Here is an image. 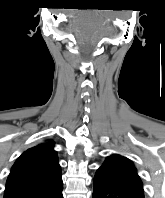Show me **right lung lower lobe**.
I'll return each mask as SVG.
<instances>
[{
    "mask_svg": "<svg viewBox=\"0 0 165 198\" xmlns=\"http://www.w3.org/2000/svg\"><path fill=\"white\" fill-rule=\"evenodd\" d=\"M50 198H63L62 195V189H60L58 192H56L53 196H51Z\"/></svg>",
    "mask_w": 165,
    "mask_h": 198,
    "instance_id": "right-lung-lower-lobe-1",
    "label": "right lung lower lobe"
}]
</instances>
